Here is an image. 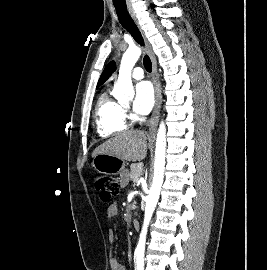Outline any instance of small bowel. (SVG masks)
<instances>
[{
  "label": "small bowel",
  "instance_id": "c3829d8e",
  "mask_svg": "<svg viewBox=\"0 0 267 270\" xmlns=\"http://www.w3.org/2000/svg\"><path fill=\"white\" fill-rule=\"evenodd\" d=\"M127 181H128L127 176L122 175L121 184L126 185ZM117 214H118L117 205L112 204L107 208V217H108L109 220H112L113 218H115L117 216ZM108 239H109L111 244L114 243L115 236H114V232L111 231V230L108 232ZM109 263H110L111 270H126L124 264L121 263V261L118 259V257L116 256L114 251L111 254Z\"/></svg>",
  "mask_w": 267,
  "mask_h": 270
}]
</instances>
